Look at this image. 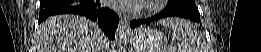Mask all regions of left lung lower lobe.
Instances as JSON below:
<instances>
[{
    "instance_id": "0a47b994",
    "label": "left lung lower lobe",
    "mask_w": 261,
    "mask_h": 52,
    "mask_svg": "<svg viewBox=\"0 0 261 52\" xmlns=\"http://www.w3.org/2000/svg\"><path fill=\"white\" fill-rule=\"evenodd\" d=\"M174 17V16H178V17H183V18H188V19H191L195 22H199L200 21V15L188 10V9H185V8H166L163 12L153 16V17H150V18H147V19H138V20H134L130 23V27L131 28H136L140 25H143V24H147V23H150L154 20H158V19H161V18H165V17Z\"/></svg>"
}]
</instances>
